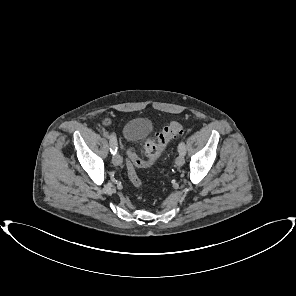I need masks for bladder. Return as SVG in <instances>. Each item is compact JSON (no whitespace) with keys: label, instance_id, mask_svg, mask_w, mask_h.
Returning <instances> with one entry per match:
<instances>
[{"label":"bladder","instance_id":"obj_1","mask_svg":"<svg viewBox=\"0 0 296 296\" xmlns=\"http://www.w3.org/2000/svg\"><path fill=\"white\" fill-rule=\"evenodd\" d=\"M152 130L151 122L144 117L129 119L123 127V136L127 142L133 143L145 138Z\"/></svg>","mask_w":296,"mask_h":296}]
</instances>
